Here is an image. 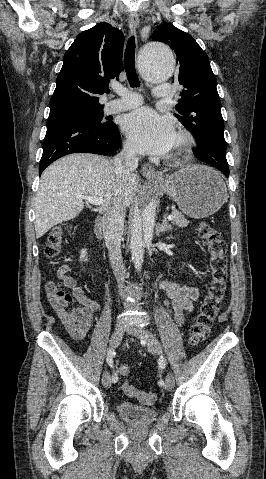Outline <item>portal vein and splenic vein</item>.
<instances>
[{
	"instance_id": "18ae733b",
	"label": "portal vein and splenic vein",
	"mask_w": 266,
	"mask_h": 479,
	"mask_svg": "<svg viewBox=\"0 0 266 479\" xmlns=\"http://www.w3.org/2000/svg\"><path fill=\"white\" fill-rule=\"evenodd\" d=\"M75 196L77 198L87 200L89 203H91L92 205H96V206H100L104 203V199L101 198V197H87V196H83V195H75ZM167 219L169 221H171V220L174 219V216L172 214H170V215L167 216Z\"/></svg>"
}]
</instances>
